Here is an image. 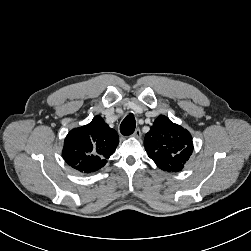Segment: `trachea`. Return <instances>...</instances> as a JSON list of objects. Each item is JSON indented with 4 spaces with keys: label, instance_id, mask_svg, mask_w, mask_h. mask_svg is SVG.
I'll return each instance as SVG.
<instances>
[{
    "label": "trachea",
    "instance_id": "trachea-1",
    "mask_svg": "<svg viewBox=\"0 0 251 251\" xmlns=\"http://www.w3.org/2000/svg\"><path fill=\"white\" fill-rule=\"evenodd\" d=\"M136 127L135 119L132 114H129L121 123L120 125V132L124 136L131 135Z\"/></svg>",
    "mask_w": 251,
    "mask_h": 251
}]
</instances>
